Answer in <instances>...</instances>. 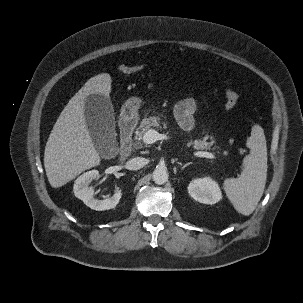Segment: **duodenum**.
Listing matches in <instances>:
<instances>
[{"label":"duodenum","instance_id":"410a0bca","mask_svg":"<svg viewBox=\"0 0 303 303\" xmlns=\"http://www.w3.org/2000/svg\"><path fill=\"white\" fill-rule=\"evenodd\" d=\"M136 126V120L132 116H125L120 122L121 145L119 158L127 159L132 152V136Z\"/></svg>","mask_w":303,"mask_h":303}]
</instances>
